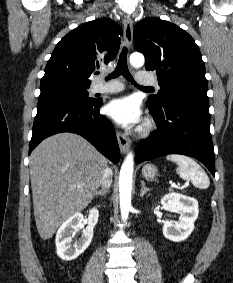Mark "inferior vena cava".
<instances>
[{"label":"inferior vena cava","instance_id":"1","mask_svg":"<svg viewBox=\"0 0 233 283\" xmlns=\"http://www.w3.org/2000/svg\"><path fill=\"white\" fill-rule=\"evenodd\" d=\"M112 182V170L106 166L103 171L102 178H101V185L105 188H109Z\"/></svg>","mask_w":233,"mask_h":283}]
</instances>
